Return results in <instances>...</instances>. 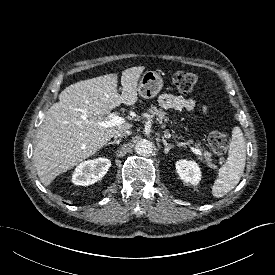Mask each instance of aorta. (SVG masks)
Returning <instances> with one entry per match:
<instances>
[{
  "label": "aorta",
  "instance_id": "aorta-1",
  "mask_svg": "<svg viewBox=\"0 0 275 275\" xmlns=\"http://www.w3.org/2000/svg\"><path fill=\"white\" fill-rule=\"evenodd\" d=\"M135 151L139 155H149L153 151L152 143L147 139H141L135 144Z\"/></svg>",
  "mask_w": 275,
  "mask_h": 275
}]
</instances>
